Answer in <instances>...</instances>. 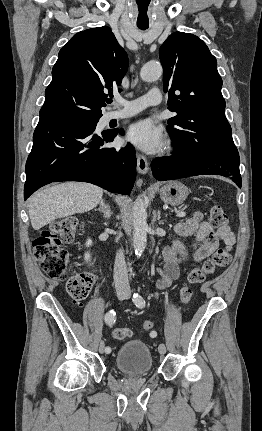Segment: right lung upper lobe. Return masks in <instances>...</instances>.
I'll list each match as a JSON object with an SVG mask.
<instances>
[{"instance_id": "cb5924a9", "label": "right lung upper lobe", "mask_w": 262, "mask_h": 431, "mask_svg": "<svg viewBox=\"0 0 262 431\" xmlns=\"http://www.w3.org/2000/svg\"><path fill=\"white\" fill-rule=\"evenodd\" d=\"M127 68V54L109 27L75 34L58 54L40 120L100 118L107 92L120 85Z\"/></svg>"}]
</instances>
